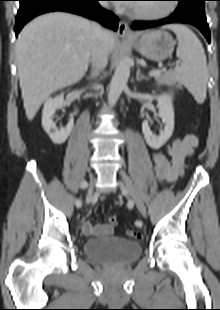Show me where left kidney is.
<instances>
[{
  "label": "left kidney",
  "mask_w": 220,
  "mask_h": 310,
  "mask_svg": "<svg viewBox=\"0 0 220 310\" xmlns=\"http://www.w3.org/2000/svg\"><path fill=\"white\" fill-rule=\"evenodd\" d=\"M159 114L158 116L164 123V129L160 131L159 136H156L150 130L148 121L142 123V132L147 144L152 149L161 148L171 137L174 130V109L172 104V97L170 95H160L157 98Z\"/></svg>",
  "instance_id": "5707ae66"
}]
</instances>
